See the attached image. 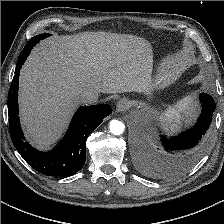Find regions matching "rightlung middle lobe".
I'll use <instances>...</instances> for the list:
<instances>
[{
    "mask_svg": "<svg viewBox=\"0 0 224 224\" xmlns=\"http://www.w3.org/2000/svg\"><path fill=\"white\" fill-rule=\"evenodd\" d=\"M48 36H50V34H40V35L33 37L29 42L36 45L40 40H43Z\"/></svg>",
    "mask_w": 224,
    "mask_h": 224,
    "instance_id": "obj_1",
    "label": "right lung middle lobe"
}]
</instances>
